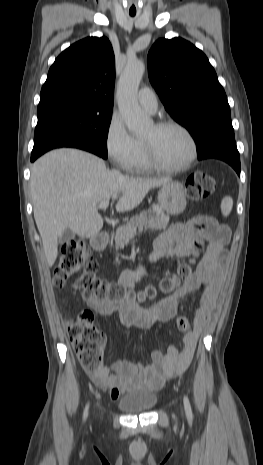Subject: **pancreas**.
Wrapping results in <instances>:
<instances>
[{
  "label": "pancreas",
  "instance_id": "1",
  "mask_svg": "<svg viewBox=\"0 0 263 465\" xmlns=\"http://www.w3.org/2000/svg\"><path fill=\"white\" fill-rule=\"evenodd\" d=\"M169 223V216L164 215L161 210L143 211L140 215L132 217L125 225L117 229L113 235L115 242V249H123L136 235L137 231L141 232L143 229H166ZM116 263H119L116 259Z\"/></svg>",
  "mask_w": 263,
  "mask_h": 465
}]
</instances>
